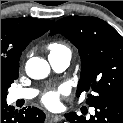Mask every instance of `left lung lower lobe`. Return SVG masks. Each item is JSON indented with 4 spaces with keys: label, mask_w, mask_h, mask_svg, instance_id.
I'll use <instances>...</instances> for the list:
<instances>
[{
    "label": "left lung lower lobe",
    "mask_w": 123,
    "mask_h": 123,
    "mask_svg": "<svg viewBox=\"0 0 123 123\" xmlns=\"http://www.w3.org/2000/svg\"><path fill=\"white\" fill-rule=\"evenodd\" d=\"M94 107L95 115L89 120L76 113L66 114L65 117L71 123H123V101L105 100Z\"/></svg>",
    "instance_id": "0a47b994"
}]
</instances>
